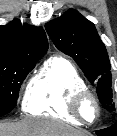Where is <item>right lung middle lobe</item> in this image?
Returning a JSON list of instances; mask_svg holds the SVG:
<instances>
[{
	"mask_svg": "<svg viewBox=\"0 0 117 136\" xmlns=\"http://www.w3.org/2000/svg\"><path fill=\"white\" fill-rule=\"evenodd\" d=\"M38 60L0 59V108L16 106L20 86Z\"/></svg>",
	"mask_w": 117,
	"mask_h": 136,
	"instance_id": "obj_1",
	"label": "right lung middle lobe"
}]
</instances>
